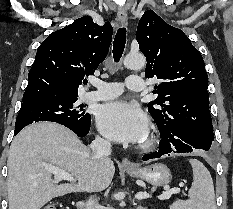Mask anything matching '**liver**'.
<instances>
[{"mask_svg": "<svg viewBox=\"0 0 233 209\" xmlns=\"http://www.w3.org/2000/svg\"><path fill=\"white\" fill-rule=\"evenodd\" d=\"M45 164L71 174L77 183L57 185ZM111 159L93 155L69 129L55 123L24 128L12 141L8 156L9 209H41L55 197L105 190L112 182Z\"/></svg>", "mask_w": 233, "mask_h": 209, "instance_id": "1", "label": "liver"}]
</instances>
